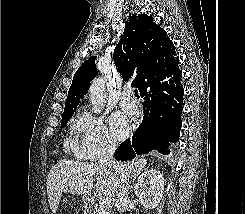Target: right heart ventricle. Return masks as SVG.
I'll list each match as a JSON object with an SVG mask.
<instances>
[{
  "mask_svg": "<svg viewBox=\"0 0 245 214\" xmlns=\"http://www.w3.org/2000/svg\"><path fill=\"white\" fill-rule=\"evenodd\" d=\"M65 147L74 150L75 143L73 138H67L65 141Z\"/></svg>",
  "mask_w": 245,
  "mask_h": 214,
  "instance_id": "right-heart-ventricle-1",
  "label": "right heart ventricle"
}]
</instances>
